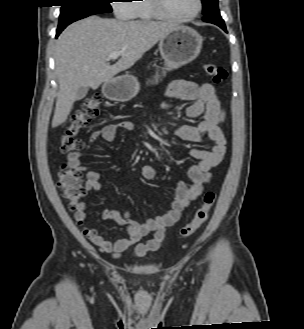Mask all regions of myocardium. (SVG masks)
Returning a JSON list of instances; mask_svg holds the SVG:
<instances>
[{
  "label": "myocardium",
  "instance_id": "f54148a6",
  "mask_svg": "<svg viewBox=\"0 0 304 329\" xmlns=\"http://www.w3.org/2000/svg\"><path fill=\"white\" fill-rule=\"evenodd\" d=\"M150 4L158 18L174 22H186L195 19L201 13L203 8L202 0H197V8L194 13L187 16H177L171 14L167 10L164 0H150Z\"/></svg>",
  "mask_w": 304,
  "mask_h": 329
}]
</instances>
